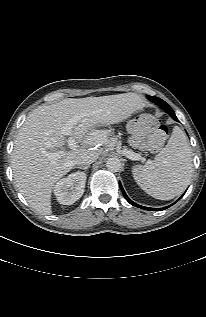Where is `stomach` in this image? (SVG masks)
Returning a JSON list of instances; mask_svg holds the SVG:
<instances>
[{
  "label": "stomach",
  "instance_id": "obj_1",
  "mask_svg": "<svg viewBox=\"0 0 206 317\" xmlns=\"http://www.w3.org/2000/svg\"><path fill=\"white\" fill-rule=\"evenodd\" d=\"M137 116L129 120L126 129L130 134L128 137V144L132 148L145 151L149 149L148 135L149 129L146 125L141 124ZM114 135L113 127L107 123L96 122L92 123L88 129L82 134V143L86 147H95L97 144H104L109 142Z\"/></svg>",
  "mask_w": 206,
  "mask_h": 317
}]
</instances>
